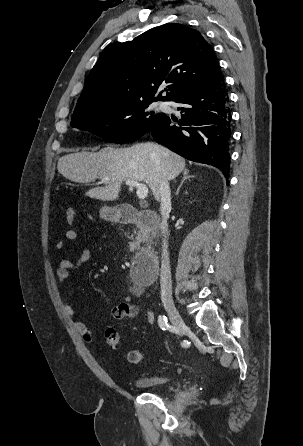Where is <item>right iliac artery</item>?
<instances>
[{"instance_id": "82829eb1", "label": "right iliac artery", "mask_w": 303, "mask_h": 446, "mask_svg": "<svg viewBox=\"0 0 303 446\" xmlns=\"http://www.w3.org/2000/svg\"><path fill=\"white\" fill-rule=\"evenodd\" d=\"M158 324H159V327L162 329V330H166V329H168V327H169V325H168V321H167V317L166 316H159V318H158Z\"/></svg>"}]
</instances>
